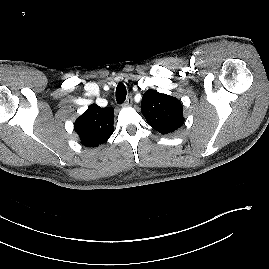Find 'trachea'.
Listing matches in <instances>:
<instances>
[{
  "label": "trachea",
  "instance_id": "trachea-1",
  "mask_svg": "<svg viewBox=\"0 0 269 269\" xmlns=\"http://www.w3.org/2000/svg\"><path fill=\"white\" fill-rule=\"evenodd\" d=\"M126 95H127L126 87L122 82H120L116 88V100H117V102L119 104L124 103L126 100Z\"/></svg>",
  "mask_w": 269,
  "mask_h": 269
}]
</instances>
